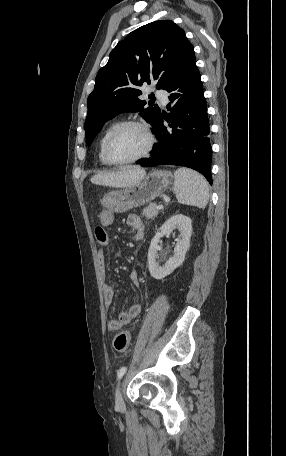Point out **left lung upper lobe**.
I'll use <instances>...</instances> for the list:
<instances>
[{
    "mask_svg": "<svg viewBox=\"0 0 286 456\" xmlns=\"http://www.w3.org/2000/svg\"><path fill=\"white\" fill-rule=\"evenodd\" d=\"M192 60V44L171 20L155 21L131 32L111 51L108 63L96 76L87 100V141L91 142L104 123L122 112H141L155 125L161 110L140 100L138 87L157 80L156 88L166 89Z\"/></svg>",
    "mask_w": 286,
    "mask_h": 456,
    "instance_id": "left-lung-upper-lobe-1",
    "label": "left lung upper lobe"
}]
</instances>
